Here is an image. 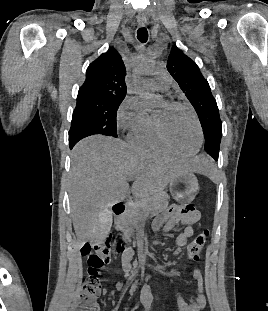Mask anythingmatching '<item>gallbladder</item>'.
<instances>
[{"instance_id":"gallbladder-1","label":"gallbladder","mask_w":268,"mask_h":311,"mask_svg":"<svg viewBox=\"0 0 268 311\" xmlns=\"http://www.w3.org/2000/svg\"><path fill=\"white\" fill-rule=\"evenodd\" d=\"M111 211L110 209H100L99 216L95 221L93 232L91 233V245L92 246H101L102 240L105 237V234L110 233L111 226Z\"/></svg>"}]
</instances>
